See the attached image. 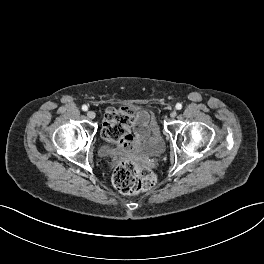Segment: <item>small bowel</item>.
<instances>
[{
	"label": "small bowel",
	"mask_w": 264,
	"mask_h": 264,
	"mask_svg": "<svg viewBox=\"0 0 264 264\" xmlns=\"http://www.w3.org/2000/svg\"><path fill=\"white\" fill-rule=\"evenodd\" d=\"M107 125L104 120L103 127ZM152 126V120L148 112L139 110L133 115V120L126 136L118 141V149L129 152L132 148H139L141 142L148 137Z\"/></svg>",
	"instance_id": "small-bowel-1"
}]
</instances>
